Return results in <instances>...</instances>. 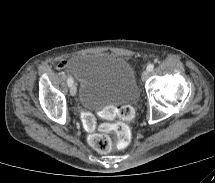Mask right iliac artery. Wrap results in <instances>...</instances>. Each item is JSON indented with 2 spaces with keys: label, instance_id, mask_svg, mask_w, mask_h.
<instances>
[{
  "label": "right iliac artery",
  "instance_id": "right-iliac-artery-1",
  "mask_svg": "<svg viewBox=\"0 0 215 183\" xmlns=\"http://www.w3.org/2000/svg\"><path fill=\"white\" fill-rule=\"evenodd\" d=\"M67 83H68L69 86H71L73 84V78L69 77L68 80H67Z\"/></svg>",
  "mask_w": 215,
  "mask_h": 183
}]
</instances>
